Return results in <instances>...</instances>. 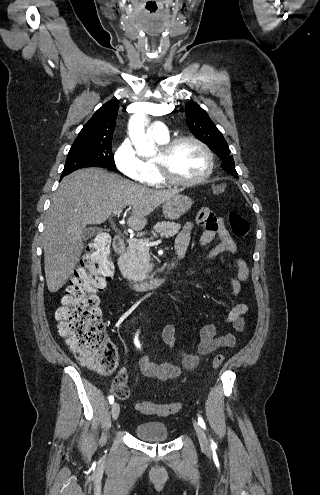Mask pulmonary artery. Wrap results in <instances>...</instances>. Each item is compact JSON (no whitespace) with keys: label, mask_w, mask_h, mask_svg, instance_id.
<instances>
[{"label":"pulmonary artery","mask_w":320,"mask_h":495,"mask_svg":"<svg viewBox=\"0 0 320 495\" xmlns=\"http://www.w3.org/2000/svg\"><path fill=\"white\" fill-rule=\"evenodd\" d=\"M148 135L158 140H168L169 131L163 122L157 121L152 123L148 130Z\"/></svg>","instance_id":"e3ab8cb5"}]
</instances>
